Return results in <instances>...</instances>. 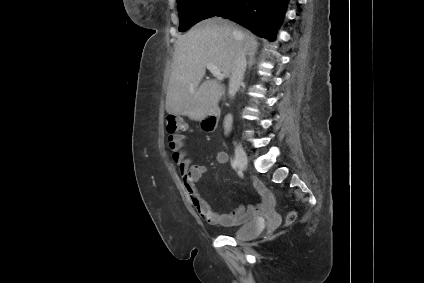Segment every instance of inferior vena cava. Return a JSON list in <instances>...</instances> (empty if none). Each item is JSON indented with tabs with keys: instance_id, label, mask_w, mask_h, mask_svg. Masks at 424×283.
Segmentation results:
<instances>
[{
	"instance_id": "obj_1",
	"label": "inferior vena cava",
	"mask_w": 424,
	"mask_h": 283,
	"mask_svg": "<svg viewBox=\"0 0 424 283\" xmlns=\"http://www.w3.org/2000/svg\"><path fill=\"white\" fill-rule=\"evenodd\" d=\"M246 64V52L245 50H239L233 63L229 82L228 93L231 97L235 96L236 91L242 82L246 70Z\"/></svg>"
}]
</instances>
